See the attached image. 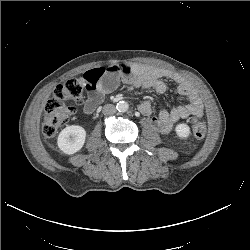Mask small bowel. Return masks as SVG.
<instances>
[{
  "mask_svg": "<svg viewBox=\"0 0 250 250\" xmlns=\"http://www.w3.org/2000/svg\"><path fill=\"white\" fill-rule=\"evenodd\" d=\"M84 82L87 89V98L84 111L92 113L101 104L106 94L113 91L119 81L139 88H153L158 93H165L167 85L164 79H170L177 84V90L187 104L180 105L170 111L161 110L153 115L149 101H144L139 106L142 114L148 117L150 124L160 133H169L175 123L189 116L201 117L203 103L193 88L182 76L167 69L156 68L132 63H115L107 67H97L84 73Z\"/></svg>",
  "mask_w": 250,
  "mask_h": 250,
  "instance_id": "obj_1",
  "label": "small bowel"
}]
</instances>
